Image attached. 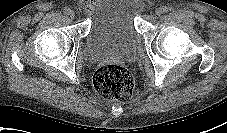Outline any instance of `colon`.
<instances>
[{"label": "colon", "instance_id": "5ec220e1", "mask_svg": "<svg viewBox=\"0 0 227 133\" xmlns=\"http://www.w3.org/2000/svg\"><path fill=\"white\" fill-rule=\"evenodd\" d=\"M94 88L101 96L126 101L134 90L132 74L124 66L107 63L100 66L93 77Z\"/></svg>", "mask_w": 227, "mask_h": 133}]
</instances>
